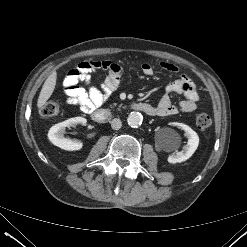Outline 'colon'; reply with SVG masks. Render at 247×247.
Returning a JSON list of instances; mask_svg holds the SVG:
<instances>
[{
    "instance_id": "obj_1",
    "label": "colon",
    "mask_w": 247,
    "mask_h": 247,
    "mask_svg": "<svg viewBox=\"0 0 247 247\" xmlns=\"http://www.w3.org/2000/svg\"><path fill=\"white\" fill-rule=\"evenodd\" d=\"M59 111V105L53 101L47 102L41 108V114L44 117H53L57 115ZM211 125L212 119L207 113L201 112L196 116V126L198 127V129L205 131L209 129Z\"/></svg>"
}]
</instances>
